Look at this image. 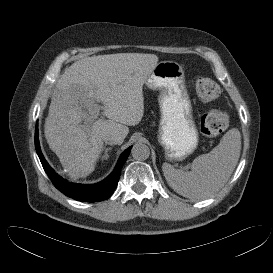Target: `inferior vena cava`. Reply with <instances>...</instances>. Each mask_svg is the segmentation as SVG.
<instances>
[{
	"mask_svg": "<svg viewBox=\"0 0 273 273\" xmlns=\"http://www.w3.org/2000/svg\"><path fill=\"white\" fill-rule=\"evenodd\" d=\"M104 141L106 144H110V145H116V144L119 145L122 143L121 138L116 135L107 136Z\"/></svg>",
	"mask_w": 273,
	"mask_h": 273,
	"instance_id": "inferior-vena-cava-1",
	"label": "inferior vena cava"
}]
</instances>
